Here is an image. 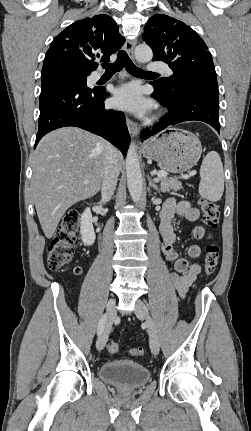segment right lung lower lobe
<instances>
[{
	"instance_id": "1",
	"label": "right lung lower lobe",
	"mask_w": 251,
	"mask_h": 431,
	"mask_svg": "<svg viewBox=\"0 0 251 431\" xmlns=\"http://www.w3.org/2000/svg\"><path fill=\"white\" fill-rule=\"evenodd\" d=\"M104 88H88L67 74L42 76L39 129L34 148L48 132L75 126L102 136L127 154L130 135L122 112L105 108Z\"/></svg>"
}]
</instances>
